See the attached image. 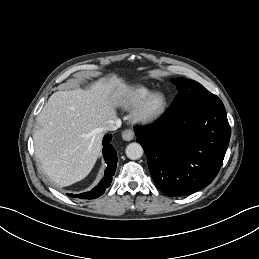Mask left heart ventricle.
<instances>
[{"label":"left heart ventricle","mask_w":259,"mask_h":259,"mask_svg":"<svg viewBox=\"0 0 259 259\" xmlns=\"http://www.w3.org/2000/svg\"><path fill=\"white\" fill-rule=\"evenodd\" d=\"M159 105H160V99L157 98V99H155V100L153 101V103H152V105H151V108H152V109H156L157 107H159Z\"/></svg>","instance_id":"obj_1"}]
</instances>
